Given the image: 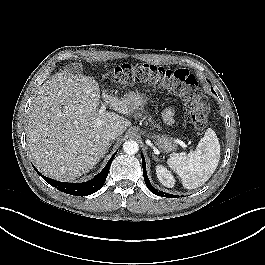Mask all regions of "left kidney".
<instances>
[{"label":"left kidney","mask_w":265,"mask_h":265,"mask_svg":"<svg viewBox=\"0 0 265 265\" xmlns=\"http://www.w3.org/2000/svg\"><path fill=\"white\" fill-rule=\"evenodd\" d=\"M156 173L159 181L166 187H173L175 179L172 174L162 165L156 167Z\"/></svg>","instance_id":"obj_1"}]
</instances>
